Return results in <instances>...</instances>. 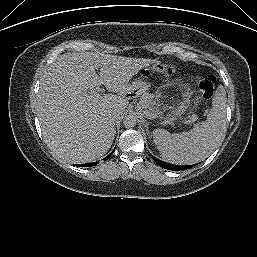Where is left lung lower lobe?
<instances>
[{
    "label": "left lung lower lobe",
    "mask_w": 257,
    "mask_h": 257,
    "mask_svg": "<svg viewBox=\"0 0 257 257\" xmlns=\"http://www.w3.org/2000/svg\"><path fill=\"white\" fill-rule=\"evenodd\" d=\"M150 154V153H149ZM150 156L152 157V159L161 167L168 169V170H173V171H180V170H187L189 168L194 167L197 164H193V165H186V166H180V165H174V164H170V163H166L163 162L159 159H157L156 157H154L153 155L150 154Z\"/></svg>",
    "instance_id": "1"
}]
</instances>
